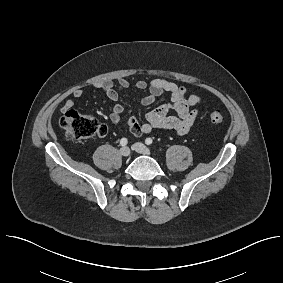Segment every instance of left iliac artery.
<instances>
[{"label": "left iliac artery", "mask_w": 283, "mask_h": 283, "mask_svg": "<svg viewBox=\"0 0 283 283\" xmlns=\"http://www.w3.org/2000/svg\"><path fill=\"white\" fill-rule=\"evenodd\" d=\"M152 142H153V140H152L151 138H147V139L145 140V143H146L147 145H151Z\"/></svg>", "instance_id": "1"}]
</instances>
